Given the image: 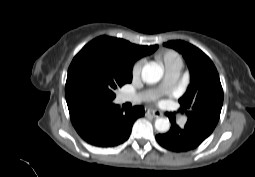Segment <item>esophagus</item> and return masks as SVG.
Wrapping results in <instances>:
<instances>
[{"label":"esophagus","instance_id":"obj_1","mask_svg":"<svg viewBox=\"0 0 255 177\" xmlns=\"http://www.w3.org/2000/svg\"><path fill=\"white\" fill-rule=\"evenodd\" d=\"M145 115H151L154 118H159L161 117V113L157 110H153V109H147L145 110Z\"/></svg>","mask_w":255,"mask_h":177}]
</instances>
